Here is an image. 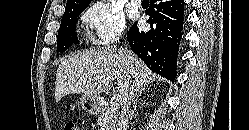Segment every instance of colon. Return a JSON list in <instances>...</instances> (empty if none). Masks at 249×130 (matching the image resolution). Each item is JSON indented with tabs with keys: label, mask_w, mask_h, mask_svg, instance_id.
I'll return each mask as SVG.
<instances>
[{
	"label": "colon",
	"mask_w": 249,
	"mask_h": 130,
	"mask_svg": "<svg viewBox=\"0 0 249 130\" xmlns=\"http://www.w3.org/2000/svg\"><path fill=\"white\" fill-rule=\"evenodd\" d=\"M63 130H80V129L74 122L69 121L65 123Z\"/></svg>",
	"instance_id": "colon-1"
}]
</instances>
